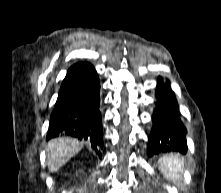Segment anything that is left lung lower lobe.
<instances>
[{
    "label": "left lung lower lobe",
    "instance_id": "1",
    "mask_svg": "<svg viewBox=\"0 0 221 193\" xmlns=\"http://www.w3.org/2000/svg\"><path fill=\"white\" fill-rule=\"evenodd\" d=\"M161 80L162 78L159 77L156 88V108L152 115L153 126L148 141V155L169 151L186 153L187 130L181 120L175 94L169 82L160 83Z\"/></svg>",
    "mask_w": 221,
    "mask_h": 193
}]
</instances>
